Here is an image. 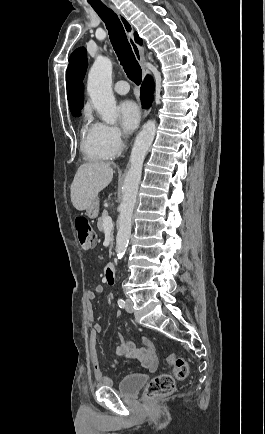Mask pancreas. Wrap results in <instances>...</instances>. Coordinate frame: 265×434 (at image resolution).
<instances>
[{
  "mask_svg": "<svg viewBox=\"0 0 265 434\" xmlns=\"http://www.w3.org/2000/svg\"><path fill=\"white\" fill-rule=\"evenodd\" d=\"M106 216H108V212L107 210H103V214L101 216V218H98V222H97V228L99 230V232H104V218H106ZM113 232H111V236H112ZM110 248H112V244H110Z\"/></svg>",
  "mask_w": 265,
  "mask_h": 434,
  "instance_id": "cf45deb5",
  "label": "pancreas"
}]
</instances>
